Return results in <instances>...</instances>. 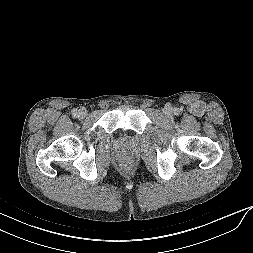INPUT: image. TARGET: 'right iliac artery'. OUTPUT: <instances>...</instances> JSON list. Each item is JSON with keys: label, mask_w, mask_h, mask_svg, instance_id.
<instances>
[{"label": "right iliac artery", "mask_w": 253, "mask_h": 253, "mask_svg": "<svg viewBox=\"0 0 253 253\" xmlns=\"http://www.w3.org/2000/svg\"><path fill=\"white\" fill-rule=\"evenodd\" d=\"M73 114L76 116V115H77V110H74V111H73Z\"/></svg>", "instance_id": "1"}]
</instances>
